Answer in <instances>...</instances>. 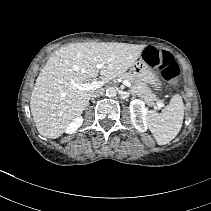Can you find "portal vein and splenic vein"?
<instances>
[{
    "label": "portal vein and splenic vein",
    "instance_id": "portal-vein-and-splenic-vein-1",
    "mask_svg": "<svg viewBox=\"0 0 211 211\" xmlns=\"http://www.w3.org/2000/svg\"><path fill=\"white\" fill-rule=\"evenodd\" d=\"M102 65L103 64H98L97 68L101 69ZM71 84L74 88L78 90L87 91V90H95V89L100 88L101 86L104 85V82L93 80L91 83L78 84V83L72 82ZM123 84L129 88L132 86L131 83L127 80H123ZM156 105L158 108L163 107V103L161 101L156 102Z\"/></svg>",
    "mask_w": 211,
    "mask_h": 211
}]
</instances>
